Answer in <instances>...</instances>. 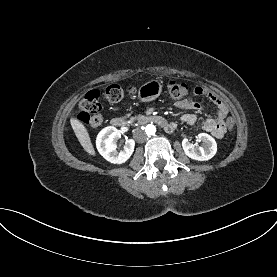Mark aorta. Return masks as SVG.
I'll list each match as a JSON object with an SVG mask.
<instances>
[{
  "mask_svg": "<svg viewBox=\"0 0 277 277\" xmlns=\"http://www.w3.org/2000/svg\"><path fill=\"white\" fill-rule=\"evenodd\" d=\"M156 132V127L153 124H148L145 127V133L147 135H154Z\"/></svg>",
  "mask_w": 277,
  "mask_h": 277,
  "instance_id": "1",
  "label": "aorta"
}]
</instances>
